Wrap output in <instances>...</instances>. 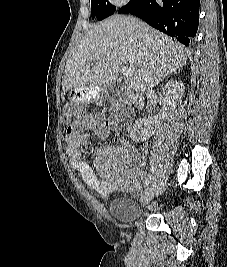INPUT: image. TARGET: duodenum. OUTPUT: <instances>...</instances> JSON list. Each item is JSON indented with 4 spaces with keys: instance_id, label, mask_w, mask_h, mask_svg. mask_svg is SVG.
<instances>
[{
    "instance_id": "duodenum-1",
    "label": "duodenum",
    "mask_w": 227,
    "mask_h": 267,
    "mask_svg": "<svg viewBox=\"0 0 227 267\" xmlns=\"http://www.w3.org/2000/svg\"><path fill=\"white\" fill-rule=\"evenodd\" d=\"M126 93L129 96L135 109L140 108L144 104V98L139 93H136L135 91L128 88L126 89Z\"/></svg>"
}]
</instances>
